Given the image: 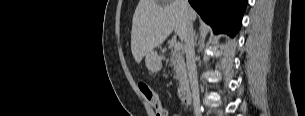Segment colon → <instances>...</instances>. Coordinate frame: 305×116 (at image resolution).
<instances>
[{
    "mask_svg": "<svg viewBox=\"0 0 305 116\" xmlns=\"http://www.w3.org/2000/svg\"><path fill=\"white\" fill-rule=\"evenodd\" d=\"M139 90L153 112V116H168L169 113L160 100L159 95L146 83H138Z\"/></svg>",
    "mask_w": 305,
    "mask_h": 116,
    "instance_id": "5ec220e1",
    "label": "colon"
}]
</instances>
